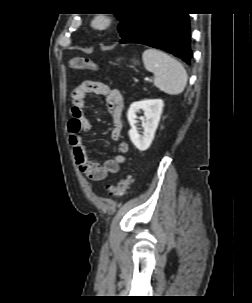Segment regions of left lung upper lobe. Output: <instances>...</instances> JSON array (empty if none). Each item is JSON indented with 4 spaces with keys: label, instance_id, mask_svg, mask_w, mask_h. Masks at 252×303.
Instances as JSON below:
<instances>
[{
    "label": "left lung upper lobe",
    "instance_id": "left-lung-upper-lobe-1",
    "mask_svg": "<svg viewBox=\"0 0 252 303\" xmlns=\"http://www.w3.org/2000/svg\"><path fill=\"white\" fill-rule=\"evenodd\" d=\"M143 14L144 12L142 10L135 11L133 13L116 14V16L120 19L118 29L122 38L127 36L135 28Z\"/></svg>",
    "mask_w": 252,
    "mask_h": 303
}]
</instances>
